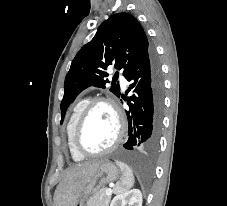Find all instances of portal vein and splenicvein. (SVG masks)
<instances>
[{"mask_svg": "<svg viewBox=\"0 0 227 206\" xmlns=\"http://www.w3.org/2000/svg\"><path fill=\"white\" fill-rule=\"evenodd\" d=\"M112 192H113V191H112V189H111V188H109V189H107V190H106V194H107V195H111V194H112Z\"/></svg>", "mask_w": 227, "mask_h": 206, "instance_id": "18ae733b", "label": "portal vein and splenic vein"}]
</instances>
